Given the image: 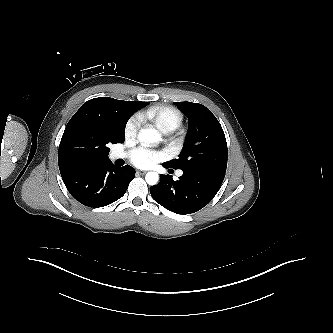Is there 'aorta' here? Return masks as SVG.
<instances>
[{"mask_svg":"<svg viewBox=\"0 0 333 333\" xmlns=\"http://www.w3.org/2000/svg\"><path fill=\"white\" fill-rule=\"evenodd\" d=\"M138 140L145 144L157 143L161 140V135L156 129H142L138 134ZM145 180L149 185H155L159 180V175L156 172H148Z\"/></svg>","mask_w":333,"mask_h":333,"instance_id":"obj_1","label":"aorta"}]
</instances>
